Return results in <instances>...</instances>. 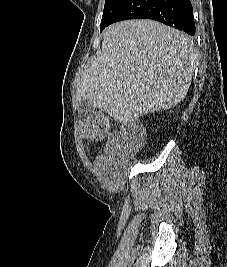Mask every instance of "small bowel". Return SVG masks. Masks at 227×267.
<instances>
[{"instance_id":"small-bowel-1","label":"small bowel","mask_w":227,"mask_h":267,"mask_svg":"<svg viewBox=\"0 0 227 267\" xmlns=\"http://www.w3.org/2000/svg\"><path fill=\"white\" fill-rule=\"evenodd\" d=\"M118 135H119V133H116L115 135H114V139H117L118 138ZM114 139H113V141H114ZM112 153V151H110L109 149H106V151L103 153V154H101V155H99L98 157H97V159H96V164L98 165V166H101V165H103L104 163H106L108 160H109V157H110V154Z\"/></svg>"}]
</instances>
